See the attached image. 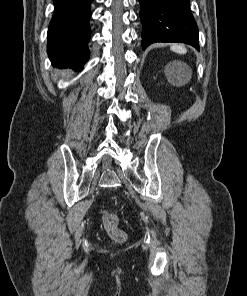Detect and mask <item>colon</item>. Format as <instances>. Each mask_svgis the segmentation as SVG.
Listing matches in <instances>:
<instances>
[{
    "label": "colon",
    "instance_id": "5ec220e1",
    "mask_svg": "<svg viewBox=\"0 0 247 296\" xmlns=\"http://www.w3.org/2000/svg\"><path fill=\"white\" fill-rule=\"evenodd\" d=\"M103 226L106 232L115 240L123 241L125 239V233L119 228L118 218L114 213H104Z\"/></svg>",
    "mask_w": 247,
    "mask_h": 296
}]
</instances>
